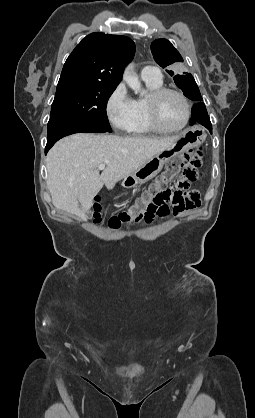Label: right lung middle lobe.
<instances>
[{"label": "right lung middle lobe", "mask_w": 255, "mask_h": 418, "mask_svg": "<svg viewBox=\"0 0 255 418\" xmlns=\"http://www.w3.org/2000/svg\"><path fill=\"white\" fill-rule=\"evenodd\" d=\"M115 86L85 83L58 84L52 103L49 124L75 121L96 125L112 132L106 105Z\"/></svg>", "instance_id": "dd1d6c3e"}]
</instances>
